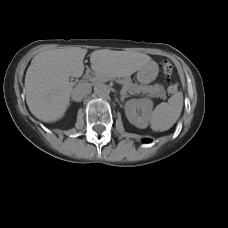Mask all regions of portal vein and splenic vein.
Returning <instances> with one entry per match:
<instances>
[{
    "label": "portal vein and splenic vein",
    "mask_w": 228,
    "mask_h": 228,
    "mask_svg": "<svg viewBox=\"0 0 228 228\" xmlns=\"http://www.w3.org/2000/svg\"><path fill=\"white\" fill-rule=\"evenodd\" d=\"M121 93H126V89H125V88H123V90L121 91Z\"/></svg>",
    "instance_id": "1"
}]
</instances>
